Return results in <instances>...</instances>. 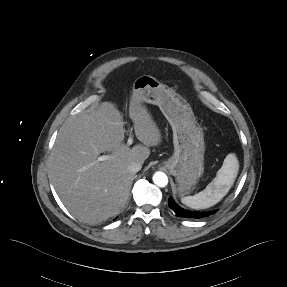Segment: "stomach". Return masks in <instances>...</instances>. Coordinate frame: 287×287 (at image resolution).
<instances>
[{
    "label": "stomach",
    "instance_id": "stomach-1",
    "mask_svg": "<svg viewBox=\"0 0 287 287\" xmlns=\"http://www.w3.org/2000/svg\"><path fill=\"white\" fill-rule=\"evenodd\" d=\"M132 96L141 103L158 105L173 130L174 153L164 166L176 178L182 197L195 189L204 172L205 142L201 126L185 99L150 75L133 83Z\"/></svg>",
    "mask_w": 287,
    "mask_h": 287
}]
</instances>
